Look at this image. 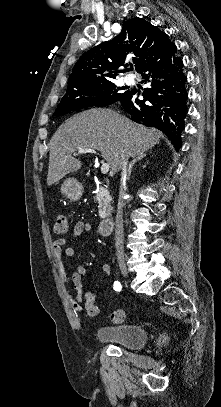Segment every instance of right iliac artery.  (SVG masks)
Here are the masks:
<instances>
[{"label":"right iliac artery","instance_id":"obj_1","mask_svg":"<svg viewBox=\"0 0 221 407\" xmlns=\"http://www.w3.org/2000/svg\"><path fill=\"white\" fill-rule=\"evenodd\" d=\"M113 288L115 291H120L122 289V286H121L120 282L115 281L113 284Z\"/></svg>","mask_w":221,"mask_h":407}]
</instances>
